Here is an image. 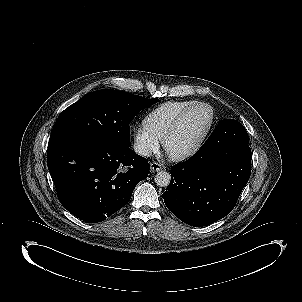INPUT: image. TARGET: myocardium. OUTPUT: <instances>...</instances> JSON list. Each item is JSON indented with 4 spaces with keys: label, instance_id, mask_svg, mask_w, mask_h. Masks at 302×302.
I'll use <instances>...</instances> for the list:
<instances>
[{
    "label": "myocardium",
    "instance_id": "myocardium-1",
    "mask_svg": "<svg viewBox=\"0 0 302 302\" xmlns=\"http://www.w3.org/2000/svg\"><path fill=\"white\" fill-rule=\"evenodd\" d=\"M199 109L204 110L207 113V120H206V123H205V126H204L202 132L200 133L198 138L195 140V142L187 149L182 150V151H173L170 148V139H171L172 135L177 130V128L179 127V125L181 124V122L184 120V118L186 116L191 114L193 111L199 110ZM212 120H213V113H212L211 108L208 105L196 104V105L191 106L190 108H188L186 111H184L182 114L179 115V117L176 119V121L173 123V125L169 129L168 133L164 137L163 144H164L165 150L167 152H170L172 157H174V158H182V157H185V156L191 154L199 147L201 142L204 140L205 136L207 135V133L211 127Z\"/></svg>",
    "mask_w": 302,
    "mask_h": 302
}]
</instances>
